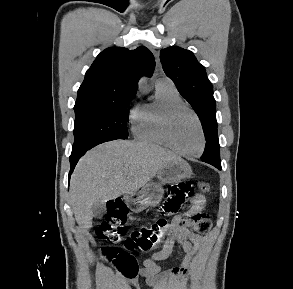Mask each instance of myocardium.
<instances>
[{
	"instance_id": "1",
	"label": "myocardium",
	"mask_w": 293,
	"mask_h": 289,
	"mask_svg": "<svg viewBox=\"0 0 293 289\" xmlns=\"http://www.w3.org/2000/svg\"><path fill=\"white\" fill-rule=\"evenodd\" d=\"M183 111H186L192 115V117L195 119L197 126L199 128L200 137H201V145H200L199 151L194 154L186 153V152L180 150L175 145L173 138H172V134H171L172 122H173L174 118L180 112H183ZM162 132H163V136H164V139H165L168 147L170 149H172L174 152H176L177 154H179L185 158H198L204 153V150L206 147V137H205L203 125H202L201 120H200L199 116L197 115V113L193 109H191L189 106L182 103V104H176V105H173V106H170L169 108H167L164 112V115H163Z\"/></svg>"
}]
</instances>
